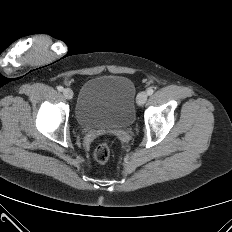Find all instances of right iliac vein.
<instances>
[{"label": "right iliac vein", "instance_id": "1", "mask_svg": "<svg viewBox=\"0 0 232 232\" xmlns=\"http://www.w3.org/2000/svg\"><path fill=\"white\" fill-rule=\"evenodd\" d=\"M63 95L66 99H72L73 98V91L69 88H66L63 90Z\"/></svg>", "mask_w": 232, "mask_h": 232}]
</instances>
